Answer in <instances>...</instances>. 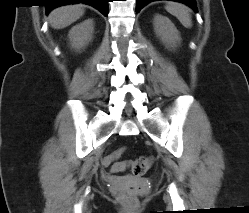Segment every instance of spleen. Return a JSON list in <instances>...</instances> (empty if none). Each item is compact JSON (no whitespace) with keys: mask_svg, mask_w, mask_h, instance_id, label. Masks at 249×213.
<instances>
[{"mask_svg":"<svg viewBox=\"0 0 249 213\" xmlns=\"http://www.w3.org/2000/svg\"><path fill=\"white\" fill-rule=\"evenodd\" d=\"M165 8L170 14L177 17L184 27L191 28L192 20L187 6L181 3L169 2Z\"/></svg>","mask_w":249,"mask_h":213,"instance_id":"3e777b00","label":"spleen"}]
</instances>
